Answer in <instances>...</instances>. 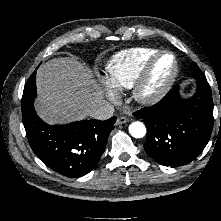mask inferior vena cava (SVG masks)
I'll use <instances>...</instances> for the list:
<instances>
[{
    "instance_id": "obj_1",
    "label": "inferior vena cava",
    "mask_w": 221,
    "mask_h": 221,
    "mask_svg": "<svg viewBox=\"0 0 221 221\" xmlns=\"http://www.w3.org/2000/svg\"><path fill=\"white\" fill-rule=\"evenodd\" d=\"M114 106L109 102H101L91 111L90 116L98 120H106L113 116Z\"/></svg>"
}]
</instances>
